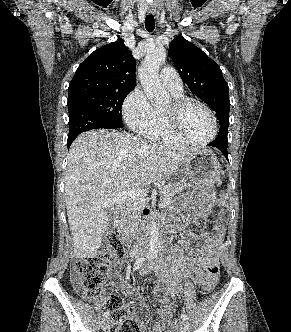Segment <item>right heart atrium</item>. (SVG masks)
I'll list each match as a JSON object with an SVG mask.
<instances>
[{"label":"right heart atrium","instance_id":"right-heart-atrium-1","mask_svg":"<svg viewBox=\"0 0 291 332\" xmlns=\"http://www.w3.org/2000/svg\"><path fill=\"white\" fill-rule=\"evenodd\" d=\"M122 114L128 127L143 132L155 123L154 107L140 88L133 89L122 106Z\"/></svg>","mask_w":291,"mask_h":332}]
</instances>
